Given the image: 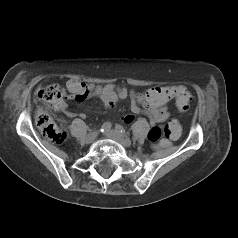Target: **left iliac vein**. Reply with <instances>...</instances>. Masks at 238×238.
<instances>
[{"instance_id":"left-iliac-vein-1","label":"left iliac vein","mask_w":238,"mask_h":238,"mask_svg":"<svg viewBox=\"0 0 238 238\" xmlns=\"http://www.w3.org/2000/svg\"><path fill=\"white\" fill-rule=\"evenodd\" d=\"M105 135L108 138H111V139L117 141L118 143H120L124 147H129L131 145V141L129 139L125 138L124 135L121 134L118 131L108 130V131L105 132Z\"/></svg>"}]
</instances>
